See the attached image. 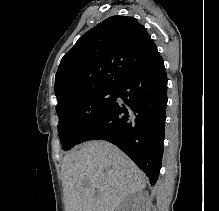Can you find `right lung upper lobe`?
I'll return each instance as SVG.
<instances>
[{"label": "right lung upper lobe", "instance_id": "1", "mask_svg": "<svg viewBox=\"0 0 219 211\" xmlns=\"http://www.w3.org/2000/svg\"><path fill=\"white\" fill-rule=\"evenodd\" d=\"M153 40L133 17L102 21L67 52L55 76L58 104L100 87H115L126 75L159 57Z\"/></svg>", "mask_w": 219, "mask_h": 211}]
</instances>
